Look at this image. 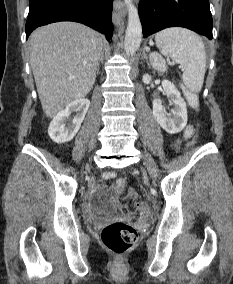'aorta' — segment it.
<instances>
[{
    "mask_svg": "<svg viewBox=\"0 0 233 284\" xmlns=\"http://www.w3.org/2000/svg\"><path fill=\"white\" fill-rule=\"evenodd\" d=\"M128 10V25L125 33L124 50L127 54H134L142 41V25L138 11L132 0H124Z\"/></svg>",
    "mask_w": 233,
    "mask_h": 284,
    "instance_id": "762f6f07",
    "label": "aorta"
}]
</instances>
